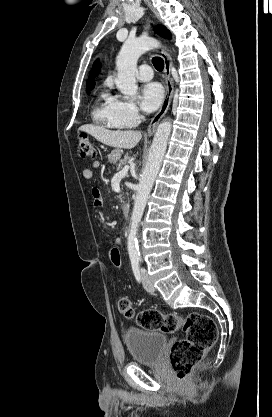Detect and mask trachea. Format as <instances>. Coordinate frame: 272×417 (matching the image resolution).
Here are the masks:
<instances>
[{
  "label": "trachea",
  "mask_w": 272,
  "mask_h": 417,
  "mask_svg": "<svg viewBox=\"0 0 272 417\" xmlns=\"http://www.w3.org/2000/svg\"><path fill=\"white\" fill-rule=\"evenodd\" d=\"M152 62H153L154 67L156 68V70H158V71H162L163 70V68H164V61H163L162 58H160V57H153L152 58Z\"/></svg>",
  "instance_id": "obj_1"
}]
</instances>
